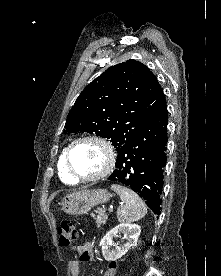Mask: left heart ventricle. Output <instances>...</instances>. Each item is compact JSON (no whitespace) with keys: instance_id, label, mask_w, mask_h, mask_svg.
I'll use <instances>...</instances> for the list:
<instances>
[{"instance_id":"obj_1","label":"left heart ventricle","mask_w":221,"mask_h":276,"mask_svg":"<svg viewBox=\"0 0 221 276\" xmlns=\"http://www.w3.org/2000/svg\"><path fill=\"white\" fill-rule=\"evenodd\" d=\"M73 171L79 176H92L100 172L106 162L103 148L95 142H81L70 154Z\"/></svg>"}]
</instances>
